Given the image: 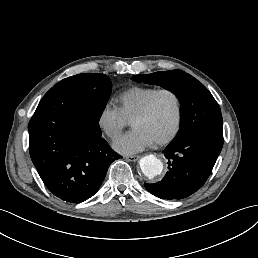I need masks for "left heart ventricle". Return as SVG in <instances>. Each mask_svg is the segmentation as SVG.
<instances>
[{"instance_id": "obj_1", "label": "left heart ventricle", "mask_w": 258, "mask_h": 258, "mask_svg": "<svg viewBox=\"0 0 258 258\" xmlns=\"http://www.w3.org/2000/svg\"><path fill=\"white\" fill-rule=\"evenodd\" d=\"M175 113V99L172 95H163L157 102L153 128L159 134L169 129Z\"/></svg>"}]
</instances>
